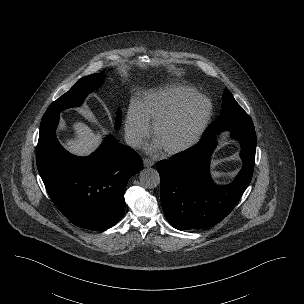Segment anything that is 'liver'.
Instances as JSON below:
<instances>
[{
    "mask_svg": "<svg viewBox=\"0 0 304 304\" xmlns=\"http://www.w3.org/2000/svg\"><path fill=\"white\" fill-rule=\"evenodd\" d=\"M74 138L65 141V148L79 156H85L94 151L101 143L99 131H93L88 125L81 121L73 124Z\"/></svg>",
    "mask_w": 304,
    "mask_h": 304,
    "instance_id": "liver-1",
    "label": "liver"
}]
</instances>
